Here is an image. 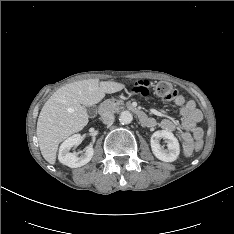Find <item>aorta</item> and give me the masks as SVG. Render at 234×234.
Instances as JSON below:
<instances>
[{
    "mask_svg": "<svg viewBox=\"0 0 234 234\" xmlns=\"http://www.w3.org/2000/svg\"><path fill=\"white\" fill-rule=\"evenodd\" d=\"M133 120V115L130 111H122L119 116V121L122 124H130Z\"/></svg>",
    "mask_w": 234,
    "mask_h": 234,
    "instance_id": "aorta-1",
    "label": "aorta"
}]
</instances>
